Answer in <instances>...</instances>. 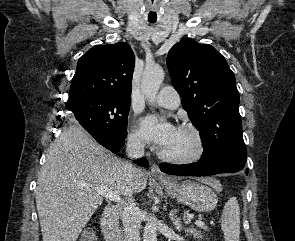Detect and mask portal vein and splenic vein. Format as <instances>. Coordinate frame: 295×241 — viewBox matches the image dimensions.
<instances>
[{"mask_svg":"<svg viewBox=\"0 0 295 241\" xmlns=\"http://www.w3.org/2000/svg\"><path fill=\"white\" fill-rule=\"evenodd\" d=\"M88 188H92L98 194H100L101 196H104L105 198H107L110 201L119 202L121 200L119 195L112 192L111 190H109L106 187H103V186H88ZM195 225H197L199 227H202V226H204V222L201 219H199V220L195 221Z\"/></svg>","mask_w":295,"mask_h":241,"instance_id":"18ae733b","label":"portal vein and splenic vein"}]
</instances>
